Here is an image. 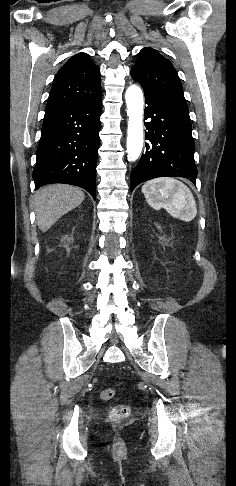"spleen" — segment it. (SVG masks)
Here are the masks:
<instances>
[{
    "label": "spleen",
    "mask_w": 236,
    "mask_h": 486,
    "mask_svg": "<svg viewBox=\"0 0 236 486\" xmlns=\"http://www.w3.org/2000/svg\"><path fill=\"white\" fill-rule=\"evenodd\" d=\"M142 193L154 209L165 208L172 216L189 222L197 214L196 202L190 189L173 178H158L146 182Z\"/></svg>",
    "instance_id": "3e777b00"
}]
</instances>
